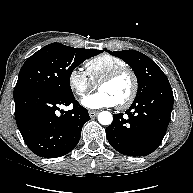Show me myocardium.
<instances>
[{"mask_svg":"<svg viewBox=\"0 0 193 193\" xmlns=\"http://www.w3.org/2000/svg\"><path fill=\"white\" fill-rule=\"evenodd\" d=\"M124 74H129L132 78V82H133V86H132V90L130 95L128 96V98L117 104V107L119 109H126L128 107H130L132 105V103L134 102V100L137 97L138 91H139V80L137 77V74L135 73V71L130 68V67H122V68H118L116 70L111 71L110 73H108L107 75H105L99 82H98V88H100L101 85L112 82L114 80H116L117 78H119L120 76L124 75Z\"/></svg>","mask_w":193,"mask_h":193,"instance_id":"1","label":"myocardium"}]
</instances>
